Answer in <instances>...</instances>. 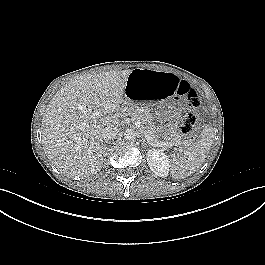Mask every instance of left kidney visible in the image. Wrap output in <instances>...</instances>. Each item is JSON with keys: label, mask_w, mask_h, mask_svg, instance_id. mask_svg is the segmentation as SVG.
I'll return each mask as SVG.
<instances>
[{"label": "left kidney", "mask_w": 265, "mask_h": 265, "mask_svg": "<svg viewBox=\"0 0 265 265\" xmlns=\"http://www.w3.org/2000/svg\"><path fill=\"white\" fill-rule=\"evenodd\" d=\"M147 162L153 173L159 177H166L169 172L170 161L161 150L150 149L147 154Z\"/></svg>", "instance_id": "5707ae66"}]
</instances>
